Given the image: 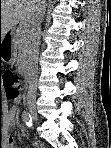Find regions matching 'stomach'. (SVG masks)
<instances>
[{
    "label": "stomach",
    "instance_id": "stomach-1",
    "mask_svg": "<svg viewBox=\"0 0 111 148\" xmlns=\"http://www.w3.org/2000/svg\"><path fill=\"white\" fill-rule=\"evenodd\" d=\"M0 59L7 64H13L16 61V46L14 42H9L4 46L0 44Z\"/></svg>",
    "mask_w": 111,
    "mask_h": 148
}]
</instances>
